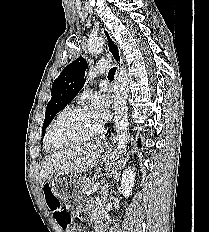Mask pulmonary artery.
Wrapping results in <instances>:
<instances>
[{
	"label": "pulmonary artery",
	"instance_id": "1",
	"mask_svg": "<svg viewBox=\"0 0 209 232\" xmlns=\"http://www.w3.org/2000/svg\"><path fill=\"white\" fill-rule=\"evenodd\" d=\"M110 68L109 61L108 60H101L94 67L90 69L88 72V76L90 79L95 78L99 74H106L108 73Z\"/></svg>",
	"mask_w": 209,
	"mask_h": 232
}]
</instances>
